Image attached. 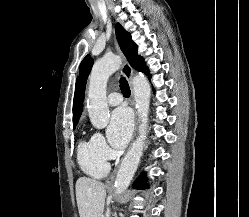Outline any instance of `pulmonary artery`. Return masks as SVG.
Returning <instances> with one entry per match:
<instances>
[{
    "instance_id": "pulmonary-artery-1",
    "label": "pulmonary artery",
    "mask_w": 249,
    "mask_h": 217,
    "mask_svg": "<svg viewBox=\"0 0 249 217\" xmlns=\"http://www.w3.org/2000/svg\"><path fill=\"white\" fill-rule=\"evenodd\" d=\"M121 101H122V96L117 92H113L108 96V103L112 106L120 104Z\"/></svg>"
}]
</instances>
